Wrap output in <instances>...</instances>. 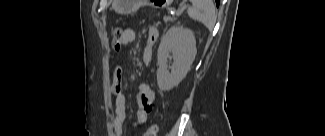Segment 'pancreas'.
I'll return each instance as SVG.
<instances>
[{
  "mask_svg": "<svg viewBox=\"0 0 325 136\" xmlns=\"http://www.w3.org/2000/svg\"><path fill=\"white\" fill-rule=\"evenodd\" d=\"M176 16H169V12H160L158 23L159 24H167L168 19H175Z\"/></svg>",
  "mask_w": 325,
  "mask_h": 136,
  "instance_id": "obj_1",
  "label": "pancreas"
}]
</instances>
